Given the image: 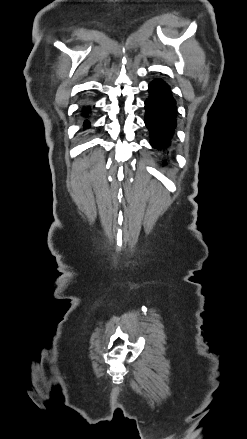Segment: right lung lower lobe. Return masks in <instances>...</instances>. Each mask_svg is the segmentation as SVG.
Wrapping results in <instances>:
<instances>
[{
    "label": "right lung lower lobe",
    "mask_w": 247,
    "mask_h": 439,
    "mask_svg": "<svg viewBox=\"0 0 247 439\" xmlns=\"http://www.w3.org/2000/svg\"><path fill=\"white\" fill-rule=\"evenodd\" d=\"M87 111H88V109H85L84 114L87 115ZM83 126H84V128L90 127V122L88 120H85Z\"/></svg>",
    "instance_id": "obj_1"
}]
</instances>
